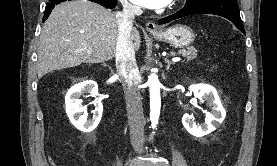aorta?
<instances>
[{
    "label": "aorta",
    "mask_w": 277,
    "mask_h": 166,
    "mask_svg": "<svg viewBox=\"0 0 277 166\" xmlns=\"http://www.w3.org/2000/svg\"><path fill=\"white\" fill-rule=\"evenodd\" d=\"M150 88V120L152 128H155L158 124L161 108L160 87L158 76L152 73L148 79Z\"/></svg>",
    "instance_id": "aorta-1"
}]
</instances>
